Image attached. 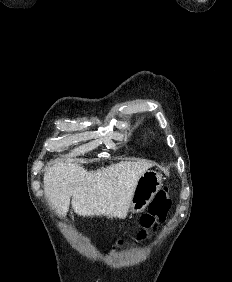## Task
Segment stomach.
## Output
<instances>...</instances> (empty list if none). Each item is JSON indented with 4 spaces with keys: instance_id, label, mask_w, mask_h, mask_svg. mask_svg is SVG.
<instances>
[{
    "instance_id": "stomach-1",
    "label": "stomach",
    "mask_w": 232,
    "mask_h": 282,
    "mask_svg": "<svg viewBox=\"0 0 232 282\" xmlns=\"http://www.w3.org/2000/svg\"><path fill=\"white\" fill-rule=\"evenodd\" d=\"M162 187V176L154 170L145 171L139 178L130 204L131 213L142 212Z\"/></svg>"
}]
</instances>
